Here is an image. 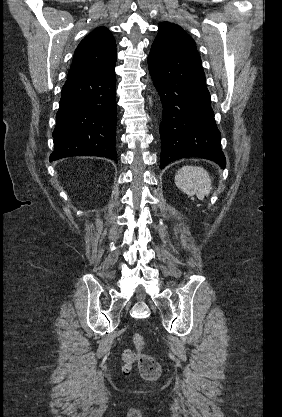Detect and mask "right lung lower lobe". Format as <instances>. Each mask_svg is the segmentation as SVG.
<instances>
[{
  "mask_svg": "<svg viewBox=\"0 0 282 417\" xmlns=\"http://www.w3.org/2000/svg\"><path fill=\"white\" fill-rule=\"evenodd\" d=\"M115 63L65 82L53 132L50 161L102 156L117 162Z\"/></svg>",
  "mask_w": 282,
  "mask_h": 417,
  "instance_id": "98d812e1",
  "label": "right lung lower lobe"
}]
</instances>
